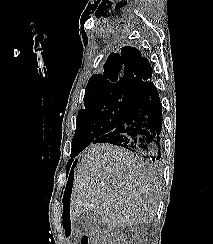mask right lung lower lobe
<instances>
[{
  "label": "right lung lower lobe",
  "instance_id": "obj_1",
  "mask_svg": "<svg viewBox=\"0 0 213 244\" xmlns=\"http://www.w3.org/2000/svg\"><path fill=\"white\" fill-rule=\"evenodd\" d=\"M162 121V103L158 90L151 81L134 97L115 129L92 143L121 146L145 159L157 161L161 158ZM75 164L74 162L72 170ZM72 182L71 171L66 186L68 195Z\"/></svg>",
  "mask_w": 213,
  "mask_h": 244
}]
</instances>
